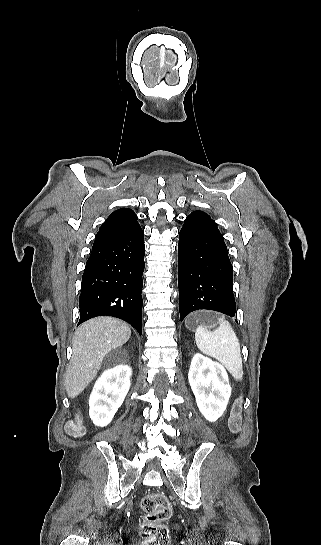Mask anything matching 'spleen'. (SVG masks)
Here are the masks:
<instances>
[{
    "instance_id": "3e777b00",
    "label": "spleen",
    "mask_w": 321,
    "mask_h": 545,
    "mask_svg": "<svg viewBox=\"0 0 321 545\" xmlns=\"http://www.w3.org/2000/svg\"><path fill=\"white\" fill-rule=\"evenodd\" d=\"M218 329L209 331L205 325H199L195 333L198 349L204 355L217 359L235 381L243 379V365L239 339H237L230 323L218 319Z\"/></svg>"
}]
</instances>
